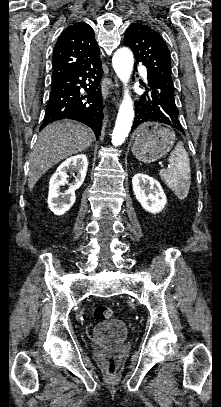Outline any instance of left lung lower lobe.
Returning <instances> with one entry per match:
<instances>
[{
  "label": "left lung lower lobe",
  "instance_id": "obj_1",
  "mask_svg": "<svg viewBox=\"0 0 221 407\" xmlns=\"http://www.w3.org/2000/svg\"><path fill=\"white\" fill-rule=\"evenodd\" d=\"M148 86L135 105L133 129L148 121L164 123L184 133L175 104L174 86L156 78H148Z\"/></svg>",
  "mask_w": 221,
  "mask_h": 407
}]
</instances>
